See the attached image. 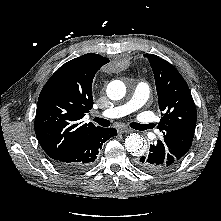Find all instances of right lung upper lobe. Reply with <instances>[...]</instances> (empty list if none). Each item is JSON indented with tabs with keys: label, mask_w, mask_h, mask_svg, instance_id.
Masks as SVG:
<instances>
[{
	"label": "right lung upper lobe",
	"mask_w": 221,
	"mask_h": 221,
	"mask_svg": "<svg viewBox=\"0 0 221 221\" xmlns=\"http://www.w3.org/2000/svg\"><path fill=\"white\" fill-rule=\"evenodd\" d=\"M108 58L88 53L62 65L44 85L37 102L35 133L55 159L98 128L82 118L93 107L92 81Z\"/></svg>",
	"instance_id": "obj_1"
}]
</instances>
